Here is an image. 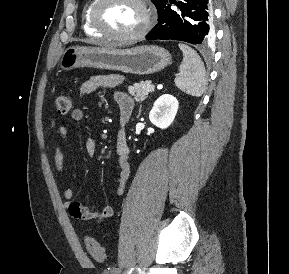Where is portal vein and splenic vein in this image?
<instances>
[{
    "label": "portal vein and splenic vein",
    "mask_w": 289,
    "mask_h": 274,
    "mask_svg": "<svg viewBox=\"0 0 289 274\" xmlns=\"http://www.w3.org/2000/svg\"><path fill=\"white\" fill-rule=\"evenodd\" d=\"M154 89L155 87L153 85L149 88L150 91H153Z\"/></svg>",
    "instance_id": "18ae733b"
}]
</instances>
